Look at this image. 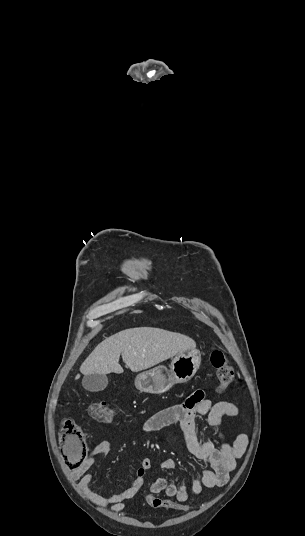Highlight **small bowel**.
Masks as SVG:
<instances>
[{"label":"small bowel","instance_id":"1","mask_svg":"<svg viewBox=\"0 0 305 536\" xmlns=\"http://www.w3.org/2000/svg\"><path fill=\"white\" fill-rule=\"evenodd\" d=\"M237 414L238 409L235 404L227 401L212 403L206 398L204 390L197 389L184 402L166 407L149 417L144 422L143 430L146 433H152L174 423L181 425L187 450L209 466V469L203 470L200 477L191 483L192 492L200 494L204 487L224 486L235 468L236 460L246 450L248 438L245 434L237 435L234 441L229 443L221 430L222 419L234 417ZM202 416H206L209 426L218 431L220 440L218 447L210 441L202 442L198 439L197 420ZM110 449L111 446L107 441L95 444L88 451L80 466L73 470L72 478L80 479V489L91 501L100 506H109L114 512H120L124 508L125 501L132 498L144 487L145 477L152 462L147 457L143 458L127 488L111 496H104L91 490L94 475L88 471L95 464L96 456H105L110 452ZM160 466L164 470H176L179 468V462L172 458H166L161 461ZM161 492L180 495L181 500L189 499V491L184 481L176 485L168 482L166 478H158L151 484L150 494Z\"/></svg>","mask_w":305,"mask_h":536}]
</instances>
